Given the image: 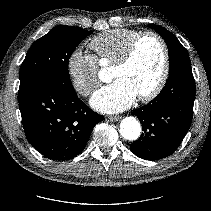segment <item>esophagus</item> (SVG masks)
Listing matches in <instances>:
<instances>
[{"instance_id":"obj_1","label":"esophagus","mask_w":211,"mask_h":211,"mask_svg":"<svg viewBox=\"0 0 211 211\" xmlns=\"http://www.w3.org/2000/svg\"><path fill=\"white\" fill-rule=\"evenodd\" d=\"M121 119V116L116 115V116H108V120L110 121H118Z\"/></svg>"}]
</instances>
